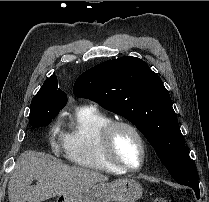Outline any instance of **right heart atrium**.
Instances as JSON below:
<instances>
[{
    "label": "right heart atrium",
    "mask_w": 209,
    "mask_h": 202,
    "mask_svg": "<svg viewBox=\"0 0 209 202\" xmlns=\"http://www.w3.org/2000/svg\"><path fill=\"white\" fill-rule=\"evenodd\" d=\"M48 138L51 141L54 150H57L64 145L65 133L62 130L59 119L53 120L50 124L48 128Z\"/></svg>",
    "instance_id": "d8ad5b80"
}]
</instances>
